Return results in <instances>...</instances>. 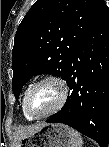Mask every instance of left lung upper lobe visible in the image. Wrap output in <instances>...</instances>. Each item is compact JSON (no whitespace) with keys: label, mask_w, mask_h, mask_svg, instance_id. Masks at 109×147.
Here are the masks:
<instances>
[{"label":"left lung upper lobe","mask_w":109,"mask_h":147,"mask_svg":"<svg viewBox=\"0 0 109 147\" xmlns=\"http://www.w3.org/2000/svg\"><path fill=\"white\" fill-rule=\"evenodd\" d=\"M106 8L104 0H38L32 5L14 39L16 99L34 75L65 79L76 48Z\"/></svg>","instance_id":"5c2ea615"}]
</instances>
